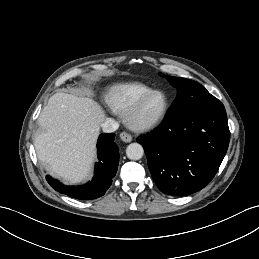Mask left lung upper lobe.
<instances>
[{
    "mask_svg": "<svg viewBox=\"0 0 259 259\" xmlns=\"http://www.w3.org/2000/svg\"><path fill=\"white\" fill-rule=\"evenodd\" d=\"M171 85L177 89V97L169 109L166 117L177 116L194 109L219 103L201 84L181 77L165 76Z\"/></svg>",
    "mask_w": 259,
    "mask_h": 259,
    "instance_id": "left-lung-upper-lobe-1",
    "label": "left lung upper lobe"
}]
</instances>
